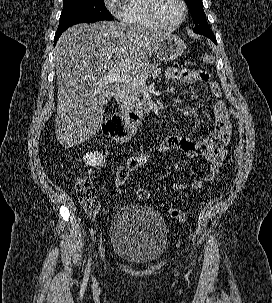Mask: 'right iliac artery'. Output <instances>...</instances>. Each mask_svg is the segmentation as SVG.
Here are the masks:
<instances>
[{
    "label": "right iliac artery",
    "instance_id": "1",
    "mask_svg": "<svg viewBox=\"0 0 272 303\" xmlns=\"http://www.w3.org/2000/svg\"><path fill=\"white\" fill-rule=\"evenodd\" d=\"M89 271H90V260H89L88 265H87L86 274H88Z\"/></svg>",
    "mask_w": 272,
    "mask_h": 303
}]
</instances>
